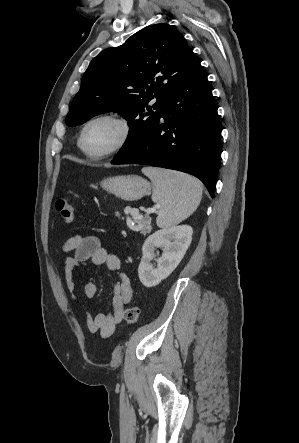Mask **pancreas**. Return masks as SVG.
<instances>
[{
	"label": "pancreas",
	"mask_w": 299,
	"mask_h": 443,
	"mask_svg": "<svg viewBox=\"0 0 299 443\" xmlns=\"http://www.w3.org/2000/svg\"><path fill=\"white\" fill-rule=\"evenodd\" d=\"M133 218L137 222V229L143 234L146 235L147 233L151 232V219L147 216L141 217L136 212L133 214Z\"/></svg>",
	"instance_id": "cf45deb5"
}]
</instances>
